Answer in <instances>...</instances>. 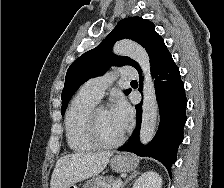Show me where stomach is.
Here are the masks:
<instances>
[{
  "label": "stomach",
  "instance_id": "stomach-1",
  "mask_svg": "<svg viewBox=\"0 0 224 188\" xmlns=\"http://www.w3.org/2000/svg\"><path fill=\"white\" fill-rule=\"evenodd\" d=\"M110 165L116 172H129L138 166V160L132 155L118 154L112 157ZM66 188H77V186L72 184Z\"/></svg>",
  "mask_w": 224,
  "mask_h": 188
}]
</instances>
